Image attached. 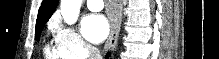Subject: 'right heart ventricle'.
Wrapping results in <instances>:
<instances>
[{
	"mask_svg": "<svg viewBox=\"0 0 219 59\" xmlns=\"http://www.w3.org/2000/svg\"><path fill=\"white\" fill-rule=\"evenodd\" d=\"M43 54L47 59H68L65 52L61 50L55 40L51 44H45Z\"/></svg>",
	"mask_w": 219,
	"mask_h": 59,
	"instance_id": "obj_1",
	"label": "right heart ventricle"
}]
</instances>
